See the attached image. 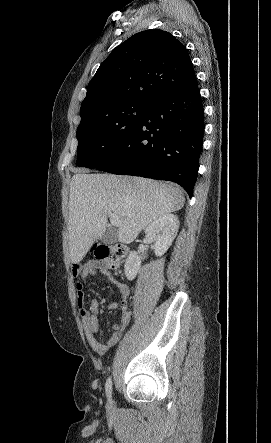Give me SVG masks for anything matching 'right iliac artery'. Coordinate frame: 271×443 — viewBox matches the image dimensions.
Segmentation results:
<instances>
[{"label": "right iliac artery", "instance_id": "right-iliac-artery-1", "mask_svg": "<svg viewBox=\"0 0 271 443\" xmlns=\"http://www.w3.org/2000/svg\"><path fill=\"white\" fill-rule=\"evenodd\" d=\"M105 391H106V395H107V398H108L109 402H111V397H112V380H111L110 377L106 381Z\"/></svg>", "mask_w": 271, "mask_h": 443}]
</instances>
